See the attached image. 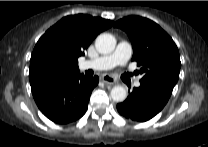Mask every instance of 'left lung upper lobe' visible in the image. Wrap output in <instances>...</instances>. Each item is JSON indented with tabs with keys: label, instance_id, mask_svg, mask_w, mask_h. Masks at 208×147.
Segmentation results:
<instances>
[{
	"label": "left lung upper lobe",
	"instance_id": "1",
	"mask_svg": "<svg viewBox=\"0 0 208 147\" xmlns=\"http://www.w3.org/2000/svg\"><path fill=\"white\" fill-rule=\"evenodd\" d=\"M123 29L133 46L132 61L141 66L140 83H150L173 91L180 73L179 51L172 38L155 22L128 16L114 24Z\"/></svg>",
	"mask_w": 208,
	"mask_h": 147
}]
</instances>
